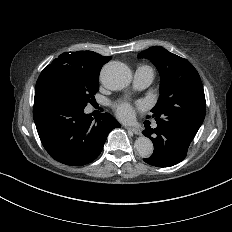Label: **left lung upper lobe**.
<instances>
[{"label":"left lung upper lobe","mask_w":232,"mask_h":232,"mask_svg":"<svg viewBox=\"0 0 232 232\" xmlns=\"http://www.w3.org/2000/svg\"><path fill=\"white\" fill-rule=\"evenodd\" d=\"M149 59L161 76L160 97L151 110L157 125L171 128L193 140L205 118L206 101L197 70L186 59L160 46L139 54Z\"/></svg>","instance_id":"1"}]
</instances>
